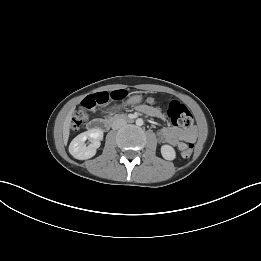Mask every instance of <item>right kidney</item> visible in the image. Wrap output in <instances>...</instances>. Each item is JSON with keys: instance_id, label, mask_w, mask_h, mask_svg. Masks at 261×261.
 Returning a JSON list of instances; mask_svg holds the SVG:
<instances>
[{"instance_id": "obj_1", "label": "right kidney", "mask_w": 261, "mask_h": 261, "mask_svg": "<svg viewBox=\"0 0 261 261\" xmlns=\"http://www.w3.org/2000/svg\"><path fill=\"white\" fill-rule=\"evenodd\" d=\"M103 139V131L100 129H90L76 136L69 145L70 154L79 160H86L96 154ZM89 140L91 144L86 146L85 141Z\"/></svg>"}]
</instances>
